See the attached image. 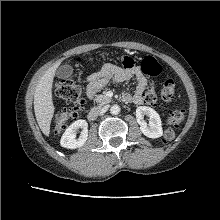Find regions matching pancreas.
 <instances>
[{
	"label": "pancreas",
	"instance_id": "obj_1",
	"mask_svg": "<svg viewBox=\"0 0 220 220\" xmlns=\"http://www.w3.org/2000/svg\"><path fill=\"white\" fill-rule=\"evenodd\" d=\"M96 101L99 103V105H105V104H108L109 102H111V99L108 98L107 96L105 95H98L97 98H96Z\"/></svg>",
	"mask_w": 220,
	"mask_h": 220
}]
</instances>
